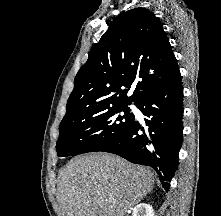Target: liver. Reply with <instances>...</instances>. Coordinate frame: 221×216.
Wrapping results in <instances>:
<instances>
[{"mask_svg": "<svg viewBox=\"0 0 221 216\" xmlns=\"http://www.w3.org/2000/svg\"><path fill=\"white\" fill-rule=\"evenodd\" d=\"M151 170L112 154L92 153L70 160L59 172L62 216H124L154 187Z\"/></svg>", "mask_w": 221, "mask_h": 216, "instance_id": "liver-1", "label": "liver"}]
</instances>
